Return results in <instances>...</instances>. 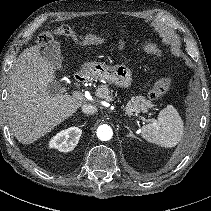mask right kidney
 Instances as JSON below:
<instances>
[{
	"label": "right kidney",
	"mask_w": 211,
	"mask_h": 211,
	"mask_svg": "<svg viewBox=\"0 0 211 211\" xmlns=\"http://www.w3.org/2000/svg\"><path fill=\"white\" fill-rule=\"evenodd\" d=\"M82 130L78 127H70L57 133L49 141L50 148H56L60 152L72 151L78 144Z\"/></svg>",
	"instance_id": "1"
}]
</instances>
